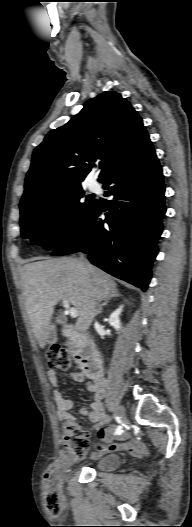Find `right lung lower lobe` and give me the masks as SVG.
I'll list each match as a JSON object with an SVG mask.
<instances>
[{"instance_id": "1", "label": "right lung lower lobe", "mask_w": 192, "mask_h": 527, "mask_svg": "<svg viewBox=\"0 0 192 527\" xmlns=\"http://www.w3.org/2000/svg\"><path fill=\"white\" fill-rule=\"evenodd\" d=\"M113 195L106 210L94 204L82 227L52 255L87 253L107 273L146 290L165 214L162 168L149 140L102 182Z\"/></svg>"}]
</instances>
